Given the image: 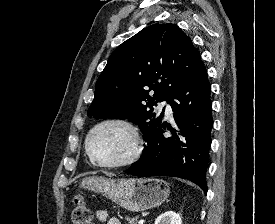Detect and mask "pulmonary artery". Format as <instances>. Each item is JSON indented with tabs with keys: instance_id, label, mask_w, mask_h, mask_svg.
<instances>
[{
	"instance_id": "obj_1",
	"label": "pulmonary artery",
	"mask_w": 275,
	"mask_h": 224,
	"mask_svg": "<svg viewBox=\"0 0 275 224\" xmlns=\"http://www.w3.org/2000/svg\"><path fill=\"white\" fill-rule=\"evenodd\" d=\"M159 108H165V112H166V115L167 117H171L172 116V109H171V106L170 104L166 101V100H163L159 106Z\"/></svg>"
}]
</instances>
